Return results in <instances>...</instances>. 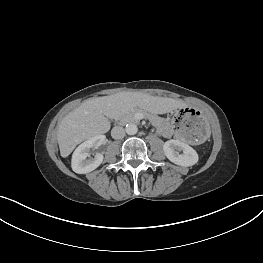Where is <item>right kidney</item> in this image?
<instances>
[{
  "label": "right kidney",
  "instance_id": "1",
  "mask_svg": "<svg viewBox=\"0 0 263 263\" xmlns=\"http://www.w3.org/2000/svg\"><path fill=\"white\" fill-rule=\"evenodd\" d=\"M105 139L104 135H97L86 140L76 148L71 161V167L75 173H89L102 163L104 156L97 153L93 158L90 156V149L102 145Z\"/></svg>",
  "mask_w": 263,
  "mask_h": 263
}]
</instances>
